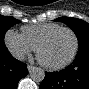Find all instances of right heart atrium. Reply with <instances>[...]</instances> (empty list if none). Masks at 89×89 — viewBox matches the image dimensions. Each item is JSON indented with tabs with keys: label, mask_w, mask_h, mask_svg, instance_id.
Segmentation results:
<instances>
[{
	"label": "right heart atrium",
	"mask_w": 89,
	"mask_h": 89,
	"mask_svg": "<svg viewBox=\"0 0 89 89\" xmlns=\"http://www.w3.org/2000/svg\"><path fill=\"white\" fill-rule=\"evenodd\" d=\"M4 44L8 51L17 59H23L35 50V47L29 41L13 29L6 31Z\"/></svg>",
	"instance_id": "d8ad5b80"
}]
</instances>
